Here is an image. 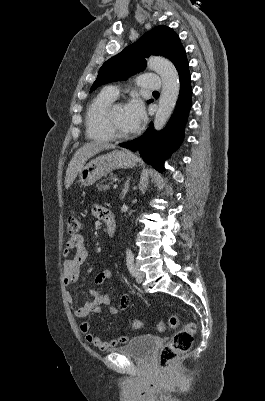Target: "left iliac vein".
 <instances>
[{
  "mask_svg": "<svg viewBox=\"0 0 265 401\" xmlns=\"http://www.w3.org/2000/svg\"><path fill=\"white\" fill-rule=\"evenodd\" d=\"M143 279H144V273L141 271H137V274H136L137 283H141L143 281Z\"/></svg>",
  "mask_w": 265,
  "mask_h": 401,
  "instance_id": "1",
  "label": "left iliac vein"
}]
</instances>
